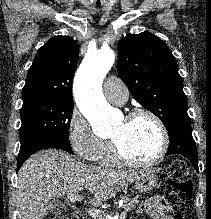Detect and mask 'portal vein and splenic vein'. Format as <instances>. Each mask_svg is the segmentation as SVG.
Instances as JSON below:
<instances>
[{
	"label": "portal vein and splenic vein",
	"mask_w": 211,
	"mask_h": 219,
	"mask_svg": "<svg viewBox=\"0 0 211 219\" xmlns=\"http://www.w3.org/2000/svg\"><path fill=\"white\" fill-rule=\"evenodd\" d=\"M69 199H70V201L72 202V203H74V202H76V201H82L83 200V196H81V195H70V197H69ZM88 213L90 214V215H92V216H98L101 212L100 211H98V210H94V209H90V210H88ZM126 212H122L121 214H120V219H125L126 218Z\"/></svg>",
	"instance_id": "portal-vein-and-splenic-vein-1"
}]
</instances>
